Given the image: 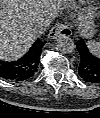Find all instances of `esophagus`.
<instances>
[{
  "instance_id": "esophagus-1",
  "label": "esophagus",
  "mask_w": 100,
  "mask_h": 118,
  "mask_svg": "<svg viewBox=\"0 0 100 118\" xmlns=\"http://www.w3.org/2000/svg\"><path fill=\"white\" fill-rule=\"evenodd\" d=\"M71 34H72V31L68 25L63 24V23H58L51 28V30L48 34V38L50 40H54L60 36H67L68 37Z\"/></svg>"
}]
</instances>
